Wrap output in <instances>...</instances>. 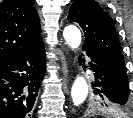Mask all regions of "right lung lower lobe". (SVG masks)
Listing matches in <instances>:
<instances>
[{"label":"right lung lower lobe","mask_w":133,"mask_h":118,"mask_svg":"<svg viewBox=\"0 0 133 118\" xmlns=\"http://www.w3.org/2000/svg\"><path fill=\"white\" fill-rule=\"evenodd\" d=\"M43 42L0 64V118H28L45 68Z\"/></svg>","instance_id":"right-lung-lower-lobe-1"}]
</instances>
